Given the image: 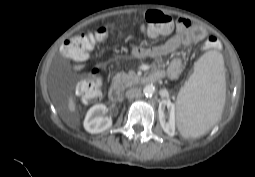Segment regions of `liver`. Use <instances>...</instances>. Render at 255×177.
<instances>
[{"mask_svg": "<svg viewBox=\"0 0 255 177\" xmlns=\"http://www.w3.org/2000/svg\"><path fill=\"white\" fill-rule=\"evenodd\" d=\"M68 108L71 112L75 111V104L73 103L72 99H69Z\"/></svg>", "mask_w": 255, "mask_h": 177, "instance_id": "1", "label": "liver"}]
</instances>
